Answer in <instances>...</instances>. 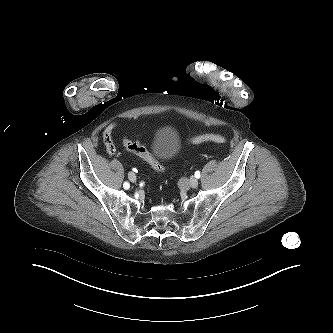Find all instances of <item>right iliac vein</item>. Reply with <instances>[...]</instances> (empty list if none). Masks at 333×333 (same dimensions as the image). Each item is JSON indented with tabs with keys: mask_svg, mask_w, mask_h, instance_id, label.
I'll return each mask as SVG.
<instances>
[{
	"mask_svg": "<svg viewBox=\"0 0 333 333\" xmlns=\"http://www.w3.org/2000/svg\"><path fill=\"white\" fill-rule=\"evenodd\" d=\"M128 177H129V180H130L131 182H136V180H137V177H136V175H135L134 172H130V173L128 174Z\"/></svg>",
	"mask_w": 333,
	"mask_h": 333,
	"instance_id": "1",
	"label": "right iliac vein"
}]
</instances>
